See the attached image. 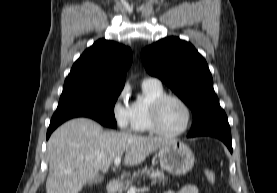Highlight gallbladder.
Segmentation results:
<instances>
[{
	"label": "gallbladder",
	"mask_w": 277,
	"mask_h": 193,
	"mask_svg": "<svg viewBox=\"0 0 277 193\" xmlns=\"http://www.w3.org/2000/svg\"><path fill=\"white\" fill-rule=\"evenodd\" d=\"M102 180H103V177L98 175L95 178H93L90 182H88V185H90V186L96 185V184L102 182Z\"/></svg>",
	"instance_id": "obj_1"
}]
</instances>
